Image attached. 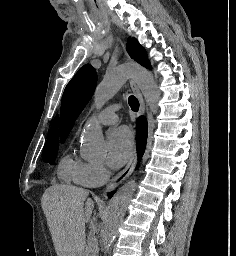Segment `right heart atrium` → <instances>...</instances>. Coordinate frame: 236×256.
Instances as JSON below:
<instances>
[{
    "label": "right heart atrium",
    "instance_id": "d8ad5b80",
    "mask_svg": "<svg viewBox=\"0 0 236 256\" xmlns=\"http://www.w3.org/2000/svg\"><path fill=\"white\" fill-rule=\"evenodd\" d=\"M109 179V172L103 162L77 161L73 181L87 188H97Z\"/></svg>",
    "mask_w": 236,
    "mask_h": 256
}]
</instances>
